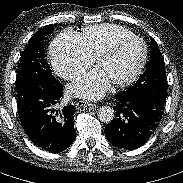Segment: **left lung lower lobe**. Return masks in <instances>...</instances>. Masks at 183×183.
<instances>
[{"instance_id":"0a47b994","label":"left lung lower lobe","mask_w":183,"mask_h":183,"mask_svg":"<svg viewBox=\"0 0 183 183\" xmlns=\"http://www.w3.org/2000/svg\"><path fill=\"white\" fill-rule=\"evenodd\" d=\"M115 99V118L106 126L105 136L115 147L136 149L145 144L155 132L165 106L127 92L119 93Z\"/></svg>"}]
</instances>
